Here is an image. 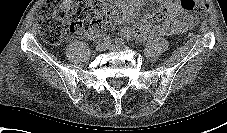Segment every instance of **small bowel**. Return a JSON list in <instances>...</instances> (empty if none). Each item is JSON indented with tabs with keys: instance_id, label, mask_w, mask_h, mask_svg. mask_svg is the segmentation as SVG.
Instances as JSON below:
<instances>
[{
	"instance_id": "small-bowel-1",
	"label": "small bowel",
	"mask_w": 227,
	"mask_h": 133,
	"mask_svg": "<svg viewBox=\"0 0 227 133\" xmlns=\"http://www.w3.org/2000/svg\"><path fill=\"white\" fill-rule=\"evenodd\" d=\"M144 0H122L121 8L116 19L118 21H131L139 14ZM161 10L158 17L164 19L162 25L157 26L151 22L152 16L146 15L133 27H122L120 32L127 38L145 40L148 37L157 35H179L193 28L197 23L194 15L182 12L178 1L159 0ZM101 36L98 30H91L85 33V37L95 40Z\"/></svg>"
}]
</instances>
